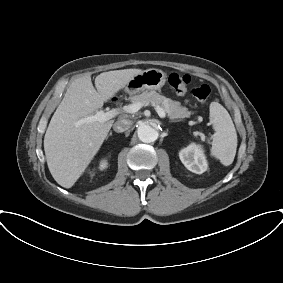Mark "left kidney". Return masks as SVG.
<instances>
[{
	"label": "left kidney",
	"mask_w": 283,
	"mask_h": 283,
	"mask_svg": "<svg viewBox=\"0 0 283 283\" xmlns=\"http://www.w3.org/2000/svg\"><path fill=\"white\" fill-rule=\"evenodd\" d=\"M179 157L184 166L193 173L202 174L208 164L201 146L194 143L182 149Z\"/></svg>",
	"instance_id": "left-kidney-1"
}]
</instances>
